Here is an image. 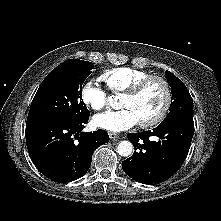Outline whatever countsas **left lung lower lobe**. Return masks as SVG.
<instances>
[{
	"label": "left lung lower lobe",
	"instance_id": "left-lung-lower-lobe-1",
	"mask_svg": "<svg viewBox=\"0 0 221 221\" xmlns=\"http://www.w3.org/2000/svg\"><path fill=\"white\" fill-rule=\"evenodd\" d=\"M193 134V120L181 119L161 123L152 131L129 133L135 151L122 162L124 172L145 184L167 179L186 159Z\"/></svg>",
	"mask_w": 221,
	"mask_h": 221
}]
</instances>
